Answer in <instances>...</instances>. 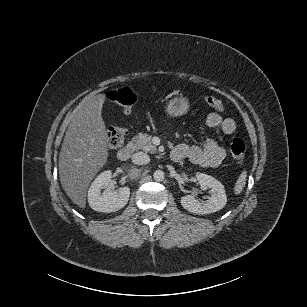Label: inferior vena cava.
<instances>
[{"instance_id": "inferior-vena-cava-1", "label": "inferior vena cava", "mask_w": 307, "mask_h": 307, "mask_svg": "<svg viewBox=\"0 0 307 307\" xmlns=\"http://www.w3.org/2000/svg\"><path fill=\"white\" fill-rule=\"evenodd\" d=\"M132 162L135 164V165H146L150 162V158L148 155H146L145 153L143 152H137L135 154H133L132 156Z\"/></svg>"}]
</instances>
